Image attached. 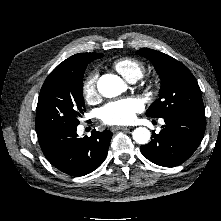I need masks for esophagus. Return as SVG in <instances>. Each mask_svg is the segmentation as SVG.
Segmentation results:
<instances>
[{"instance_id": "esophagus-1", "label": "esophagus", "mask_w": 221, "mask_h": 221, "mask_svg": "<svg viewBox=\"0 0 221 221\" xmlns=\"http://www.w3.org/2000/svg\"><path fill=\"white\" fill-rule=\"evenodd\" d=\"M111 130H112L113 132L118 131V130H129V127H125V126H113V127L111 128Z\"/></svg>"}]
</instances>
